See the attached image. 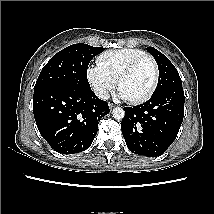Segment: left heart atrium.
Masks as SVG:
<instances>
[{"label": "left heart atrium", "instance_id": "39dd6f15", "mask_svg": "<svg viewBox=\"0 0 214 214\" xmlns=\"http://www.w3.org/2000/svg\"><path fill=\"white\" fill-rule=\"evenodd\" d=\"M119 96H120L122 99H128L127 96H126L121 90H119Z\"/></svg>", "mask_w": 214, "mask_h": 214}]
</instances>
